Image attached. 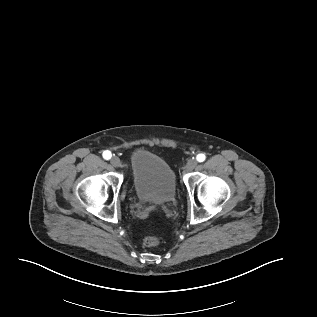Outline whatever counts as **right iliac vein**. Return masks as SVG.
<instances>
[{"mask_svg":"<svg viewBox=\"0 0 317 317\" xmlns=\"http://www.w3.org/2000/svg\"><path fill=\"white\" fill-rule=\"evenodd\" d=\"M110 162L114 167H120V165H121L120 159L118 157H115V156L111 158Z\"/></svg>","mask_w":317,"mask_h":317,"instance_id":"63e3f726","label":"right iliac vein"}]
</instances>
